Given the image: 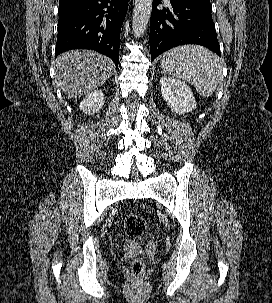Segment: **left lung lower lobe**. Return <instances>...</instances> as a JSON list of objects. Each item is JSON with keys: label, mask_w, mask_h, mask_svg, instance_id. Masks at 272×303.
Masks as SVG:
<instances>
[{"label": "left lung lower lobe", "mask_w": 272, "mask_h": 303, "mask_svg": "<svg viewBox=\"0 0 272 303\" xmlns=\"http://www.w3.org/2000/svg\"><path fill=\"white\" fill-rule=\"evenodd\" d=\"M159 3L161 0H153L150 19L151 61L184 44H199L221 55L210 0H170L167 10H158Z\"/></svg>", "instance_id": "0a47b994"}]
</instances>
